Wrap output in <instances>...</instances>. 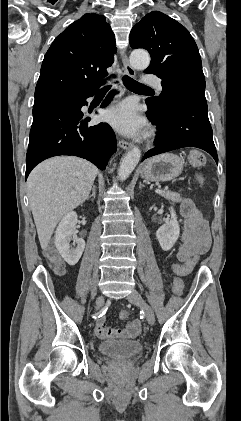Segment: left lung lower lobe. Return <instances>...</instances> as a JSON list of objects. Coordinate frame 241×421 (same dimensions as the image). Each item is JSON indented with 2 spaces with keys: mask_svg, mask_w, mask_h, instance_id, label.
I'll return each mask as SVG.
<instances>
[{
  "mask_svg": "<svg viewBox=\"0 0 241 421\" xmlns=\"http://www.w3.org/2000/svg\"><path fill=\"white\" fill-rule=\"evenodd\" d=\"M146 103L147 117L157 126L158 133L156 147L149 150L142 161L171 150L197 147L208 152L218 163L204 92L190 90L175 95L163 108Z\"/></svg>",
  "mask_w": 241,
  "mask_h": 421,
  "instance_id": "left-lung-lower-lobe-1",
  "label": "left lung lower lobe"
}]
</instances>
